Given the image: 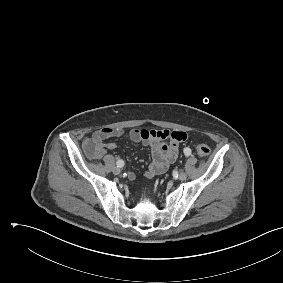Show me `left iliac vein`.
Listing matches in <instances>:
<instances>
[{"instance_id": "obj_1", "label": "left iliac vein", "mask_w": 283, "mask_h": 283, "mask_svg": "<svg viewBox=\"0 0 283 283\" xmlns=\"http://www.w3.org/2000/svg\"><path fill=\"white\" fill-rule=\"evenodd\" d=\"M186 178H187V174H186L185 172H180V173H179L178 179H179L180 181H184V180H186Z\"/></svg>"}]
</instances>
